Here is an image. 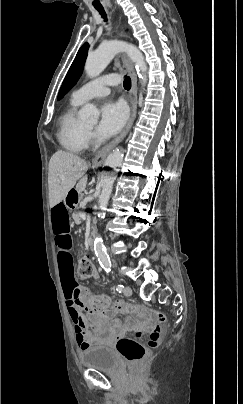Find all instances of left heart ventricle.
<instances>
[{
	"instance_id": "obj_1",
	"label": "left heart ventricle",
	"mask_w": 243,
	"mask_h": 404,
	"mask_svg": "<svg viewBox=\"0 0 243 404\" xmlns=\"http://www.w3.org/2000/svg\"><path fill=\"white\" fill-rule=\"evenodd\" d=\"M88 129H92L94 126H95V124H88V125H85Z\"/></svg>"
}]
</instances>
